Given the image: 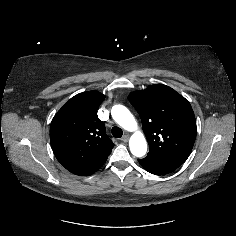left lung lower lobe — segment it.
I'll list each match as a JSON object with an SVG mask.
<instances>
[{
  "mask_svg": "<svg viewBox=\"0 0 236 236\" xmlns=\"http://www.w3.org/2000/svg\"><path fill=\"white\" fill-rule=\"evenodd\" d=\"M138 161L144 169L155 175H164L177 169V167L156 166L141 159H139Z\"/></svg>",
  "mask_w": 236,
  "mask_h": 236,
  "instance_id": "left-lung-lower-lobe-1",
  "label": "left lung lower lobe"
}]
</instances>
